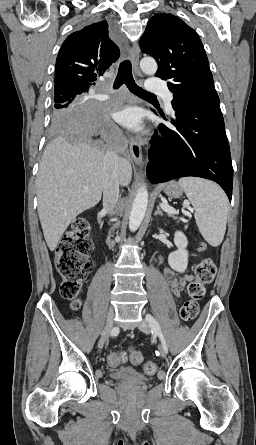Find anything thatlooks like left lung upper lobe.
Instances as JSON below:
<instances>
[{
	"label": "left lung upper lobe",
	"mask_w": 256,
	"mask_h": 445,
	"mask_svg": "<svg viewBox=\"0 0 256 445\" xmlns=\"http://www.w3.org/2000/svg\"><path fill=\"white\" fill-rule=\"evenodd\" d=\"M142 52L158 63L156 76L168 80L173 100L220 106L213 76L197 33L172 14H156L140 39Z\"/></svg>",
	"instance_id": "5c2ea615"
}]
</instances>
